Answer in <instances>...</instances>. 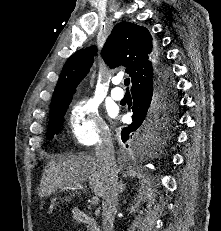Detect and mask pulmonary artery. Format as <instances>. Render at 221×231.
Instances as JSON below:
<instances>
[{
	"mask_svg": "<svg viewBox=\"0 0 221 231\" xmlns=\"http://www.w3.org/2000/svg\"><path fill=\"white\" fill-rule=\"evenodd\" d=\"M113 83L118 85L120 83V78L116 77L114 80H113ZM111 97L114 99V100H121L123 99L124 97V92L123 90L120 88V87H114L112 90H111Z\"/></svg>",
	"mask_w": 221,
	"mask_h": 231,
	"instance_id": "e3ab8cb5",
	"label": "pulmonary artery"
}]
</instances>
